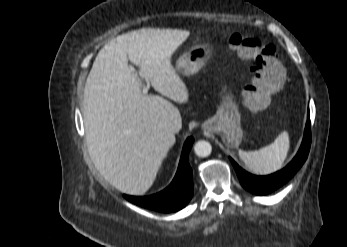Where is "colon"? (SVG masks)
Segmentation results:
<instances>
[{
    "instance_id": "5ec220e1",
    "label": "colon",
    "mask_w": 347,
    "mask_h": 247,
    "mask_svg": "<svg viewBox=\"0 0 347 247\" xmlns=\"http://www.w3.org/2000/svg\"><path fill=\"white\" fill-rule=\"evenodd\" d=\"M225 41L240 58L250 63L253 80L243 93L245 103L254 109L265 107L268 97L278 92L285 81L284 69L276 56L275 47L238 32L226 35Z\"/></svg>"
}]
</instances>
